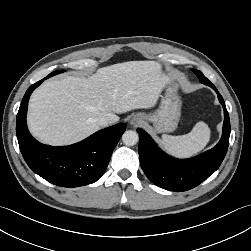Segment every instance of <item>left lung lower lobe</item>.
I'll list each match as a JSON object with an SVG mask.
<instances>
[{
  "mask_svg": "<svg viewBox=\"0 0 251 251\" xmlns=\"http://www.w3.org/2000/svg\"><path fill=\"white\" fill-rule=\"evenodd\" d=\"M202 83V82H201ZM224 109L223 133L218 144L211 150L190 159H176L164 153L142 129L139 133V157L141 167L151 182L170 191H187L202 183L221 165L229 145L230 120L224 100L209 81Z\"/></svg>",
  "mask_w": 251,
  "mask_h": 251,
  "instance_id": "obj_1",
  "label": "left lung lower lobe"
}]
</instances>
